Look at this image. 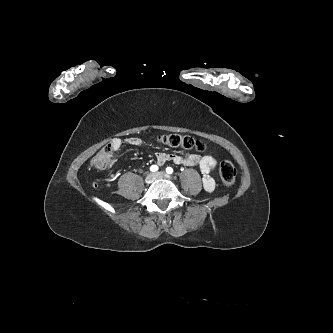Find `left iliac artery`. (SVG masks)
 <instances>
[{
    "label": "left iliac artery",
    "instance_id": "left-iliac-artery-1",
    "mask_svg": "<svg viewBox=\"0 0 333 333\" xmlns=\"http://www.w3.org/2000/svg\"><path fill=\"white\" fill-rule=\"evenodd\" d=\"M166 173H167V174H172V173H173V168H171V167H167V168H166Z\"/></svg>",
    "mask_w": 333,
    "mask_h": 333
}]
</instances>
